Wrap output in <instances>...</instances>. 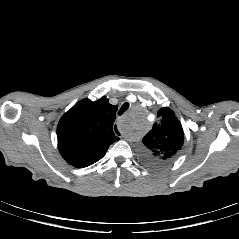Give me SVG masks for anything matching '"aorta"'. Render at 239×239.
<instances>
[{"mask_svg": "<svg viewBox=\"0 0 239 239\" xmlns=\"http://www.w3.org/2000/svg\"><path fill=\"white\" fill-rule=\"evenodd\" d=\"M143 120V117H140L135 113L130 114L123 124V129L126 135L133 136L136 132L140 131Z\"/></svg>", "mask_w": 239, "mask_h": 239, "instance_id": "762f6f07", "label": "aorta"}]
</instances>
